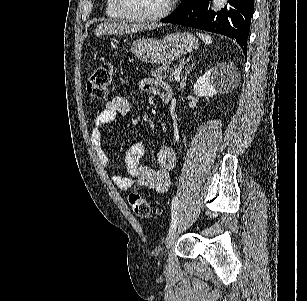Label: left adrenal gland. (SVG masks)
Here are the masks:
<instances>
[{
    "mask_svg": "<svg viewBox=\"0 0 307 301\" xmlns=\"http://www.w3.org/2000/svg\"><path fill=\"white\" fill-rule=\"evenodd\" d=\"M194 64H196V60H194V62H192L191 66H187V68H185V74L180 82V88H184V86H186V80H187V76L188 74H190Z\"/></svg>",
    "mask_w": 307,
    "mask_h": 301,
    "instance_id": "left-adrenal-gland-1",
    "label": "left adrenal gland"
}]
</instances>
